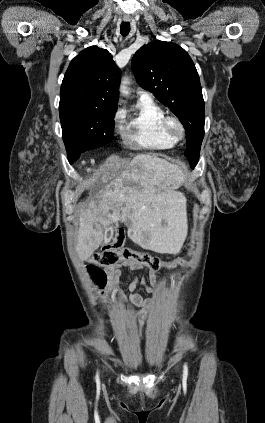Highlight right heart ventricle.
<instances>
[{"label":"right heart ventricle","instance_id":"right-heart-ventricle-1","mask_svg":"<svg viewBox=\"0 0 265 423\" xmlns=\"http://www.w3.org/2000/svg\"><path fill=\"white\" fill-rule=\"evenodd\" d=\"M163 109L153 100L139 99L136 112L129 118L123 130L125 143L150 150H169L175 147L162 128Z\"/></svg>","mask_w":265,"mask_h":423}]
</instances>
